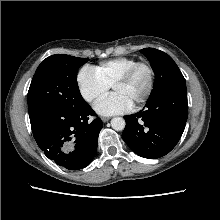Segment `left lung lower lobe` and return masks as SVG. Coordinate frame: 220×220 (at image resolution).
I'll list each match as a JSON object with an SVG mask.
<instances>
[{"instance_id":"obj_1","label":"left lung lower lobe","mask_w":220,"mask_h":220,"mask_svg":"<svg viewBox=\"0 0 220 220\" xmlns=\"http://www.w3.org/2000/svg\"><path fill=\"white\" fill-rule=\"evenodd\" d=\"M187 117L186 86L175 87L149 99L140 112L124 116L122 138L137 155L159 158L176 146Z\"/></svg>"}]
</instances>
